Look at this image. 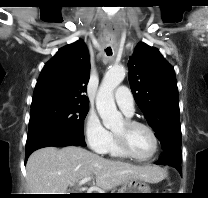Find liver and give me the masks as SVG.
I'll use <instances>...</instances> for the list:
<instances>
[{
    "label": "liver",
    "instance_id": "liver-1",
    "mask_svg": "<svg viewBox=\"0 0 208 198\" xmlns=\"http://www.w3.org/2000/svg\"><path fill=\"white\" fill-rule=\"evenodd\" d=\"M26 171L31 194H68L69 185L86 177L94 179L92 186L105 191L132 179L149 183L163 179L159 168L108 160L77 146L36 150L27 161Z\"/></svg>",
    "mask_w": 208,
    "mask_h": 198
}]
</instances>
